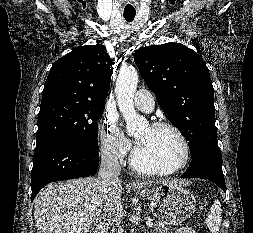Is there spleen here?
Instances as JSON below:
<instances>
[{
  "label": "spleen",
  "mask_w": 253,
  "mask_h": 233,
  "mask_svg": "<svg viewBox=\"0 0 253 233\" xmlns=\"http://www.w3.org/2000/svg\"><path fill=\"white\" fill-rule=\"evenodd\" d=\"M221 204L218 200H214L210 208L209 216L206 218V225L208 226L211 233H218L221 225Z\"/></svg>",
  "instance_id": "3e777b00"
}]
</instances>
